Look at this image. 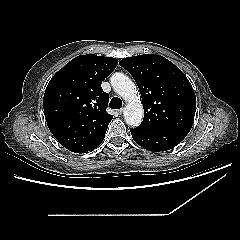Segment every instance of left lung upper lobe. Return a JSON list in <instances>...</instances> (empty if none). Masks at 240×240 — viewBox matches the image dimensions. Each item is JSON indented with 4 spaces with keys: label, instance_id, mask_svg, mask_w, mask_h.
<instances>
[{
    "label": "left lung upper lobe",
    "instance_id": "1",
    "mask_svg": "<svg viewBox=\"0 0 240 240\" xmlns=\"http://www.w3.org/2000/svg\"><path fill=\"white\" fill-rule=\"evenodd\" d=\"M119 64L130 72L142 96L144 119L138 127L190 131L196 96L187 77L177 66L153 54L124 58Z\"/></svg>",
    "mask_w": 240,
    "mask_h": 240
}]
</instances>
